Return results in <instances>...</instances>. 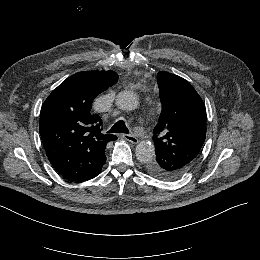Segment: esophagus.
Returning a JSON list of instances; mask_svg holds the SVG:
<instances>
[{"mask_svg": "<svg viewBox=\"0 0 260 260\" xmlns=\"http://www.w3.org/2000/svg\"><path fill=\"white\" fill-rule=\"evenodd\" d=\"M122 137H123L125 140H127V141H129V142H131V143H134V144H137V143H138V139H137L135 136H133V135L123 134Z\"/></svg>", "mask_w": 260, "mask_h": 260, "instance_id": "34e87169", "label": "esophagus"}]
</instances>
